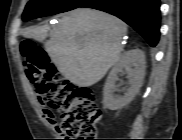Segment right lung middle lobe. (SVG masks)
Listing matches in <instances>:
<instances>
[{
  "label": "right lung middle lobe",
  "mask_w": 182,
  "mask_h": 140,
  "mask_svg": "<svg viewBox=\"0 0 182 140\" xmlns=\"http://www.w3.org/2000/svg\"><path fill=\"white\" fill-rule=\"evenodd\" d=\"M87 0H31L26 5L23 20L58 14L73 10Z\"/></svg>",
  "instance_id": "right-lung-middle-lobe-1"
}]
</instances>
